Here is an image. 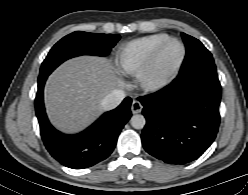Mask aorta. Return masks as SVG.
<instances>
[{"label":"aorta","instance_id":"1","mask_svg":"<svg viewBox=\"0 0 248 195\" xmlns=\"http://www.w3.org/2000/svg\"><path fill=\"white\" fill-rule=\"evenodd\" d=\"M130 122L131 126L135 129H142L146 124L145 117L141 114L133 115Z\"/></svg>","mask_w":248,"mask_h":195}]
</instances>
